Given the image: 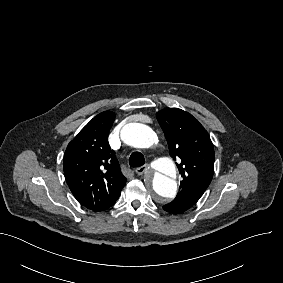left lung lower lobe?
<instances>
[{"instance_id": "obj_1", "label": "left lung lower lobe", "mask_w": 283, "mask_h": 283, "mask_svg": "<svg viewBox=\"0 0 283 283\" xmlns=\"http://www.w3.org/2000/svg\"><path fill=\"white\" fill-rule=\"evenodd\" d=\"M193 205L192 202L182 201L166 204L163 206V209L169 213L180 214L190 209Z\"/></svg>"}]
</instances>
